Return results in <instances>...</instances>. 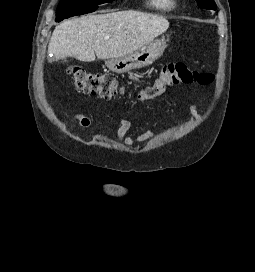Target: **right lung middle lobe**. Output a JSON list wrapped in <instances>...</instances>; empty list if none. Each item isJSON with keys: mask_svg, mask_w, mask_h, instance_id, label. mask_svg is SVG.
Segmentation results:
<instances>
[{"mask_svg": "<svg viewBox=\"0 0 255 272\" xmlns=\"http://www.w3.org/2000/svg\"><path fill=\"white\" fill-rule=\"evenodd\" d=\"M112 1L113 0H60L56 10V22L76 15L94 12L97 10L98 4Z\"/></svg>", "mask_w": 255, "mask_h": 272, "instance_id": "1", "label": "right lung middle lobe"}]
</instances>
